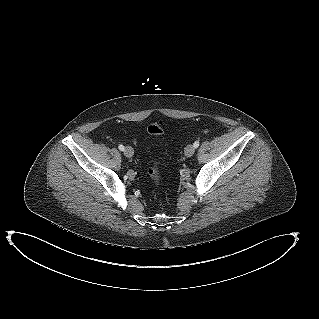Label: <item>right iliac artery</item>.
Masks as SVG:
<instances>
[{"label":"right iliac artery","instance_id":"82829eb1","mask_svg":"<svg viewBox=\"0 0 319 319\" xmlns=\"http://www.w3.org/2000/svg\"><path fill=\"white\" fill-rule=\"evenodd\" d=\"M118 148H119V150H121V151H124V149H125L122 144H120V145L118 146Z\"/></svg>","mask_w":319,"mask_h":319}]
</instances>
